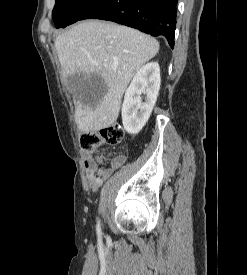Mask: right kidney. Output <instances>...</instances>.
Returning <instances> with one entry per match:
<instances>
[{
	"label": "right kidney",
	"mask_w": 247,
	"mask_h": 275,
	"mask_svg": "<svg viewBox=\"0 0 247 275\" xmlns=\"http://www.w3.org/2000/svg\"><path fill=\"white\" fill-rule=\"evenodd\" d=\"M160 67L156 62L143 65L127 88L122 104V123L129 134H137L148 121L160 89ZM145 95L142 102L141 94Z\"/></svg>",
	"instance_id": "ca27d5eb"
}]
</instances>
